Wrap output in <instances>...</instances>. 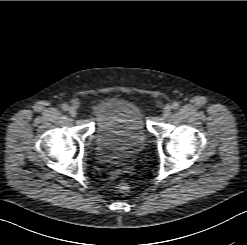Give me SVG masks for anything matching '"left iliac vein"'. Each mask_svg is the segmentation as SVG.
I'll return each mask as SVG.
<instances>
[{
  "mask_svg": "<svg viewBox=\"0 0 247 245\" xmlns=\"http://www.w3.org/2000/svg\"><path fill=\"white\" fill-rule=\"evenodd\" d=\"M172 107L170 105H165L163 108V116L167 117L171 113Z\"/></svg>",
  "mask_w": 247,
  "mask_h": 245,
  "instance_id": "1",
  "label": "left iliac vein"
}]
</instances>
